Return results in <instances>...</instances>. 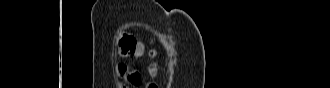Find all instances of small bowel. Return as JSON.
Returning a JSON list of instances; mask_svg holds the SVG:
<instances>
[{"label":"small bowel","mask_w":330,"mask_h":88,"mask_svg":"<svg viewBox=\"0 0 330 88\" xmlns=\"http://www.w3.org/2000/svg\"><path fill=\"white\" fill-rule=\"evenodd\" d=\"M135 43L136 46L133 55L137 59L143 54L144 48L140 42L135 41ZM115 73L123 78L124 81L130 86H138L142 81L140 72L135 69H130L124 63H119L116 65Z\"/></svg>","instance_id":"obj_1"}]
</instances>
